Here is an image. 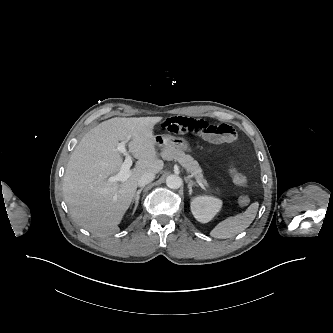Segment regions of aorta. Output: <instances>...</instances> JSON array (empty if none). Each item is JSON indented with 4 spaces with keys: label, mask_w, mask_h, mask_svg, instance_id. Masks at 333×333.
Listing matches in <instances>:
<instances>
[{
    "label": "aorta",
    "mask_w": 333,
    "mask_h": 333,
    "mask_svg": "<svg viewBox=\"0 0 333 333\" xmlns=\"http://www.w3.org/2000/svg\"><path fill=\"white\" fill-rule=\"evenodd\" d=\"M166 185L170 189H178L182 185V179L179 176H177V175H169L166 178Z\"/></svg>",
    "instance_id": "aorta-1"
}]
</instances>
